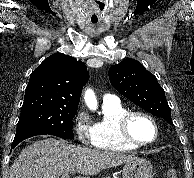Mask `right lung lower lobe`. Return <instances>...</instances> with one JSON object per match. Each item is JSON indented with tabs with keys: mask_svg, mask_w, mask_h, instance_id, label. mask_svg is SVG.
I'll use <instances>...</instances> for the list:
<instances>
[{
	"mask_svg": "<svg viewBox=\"0 0 194 178\" xmlns=\"http://www.w3.org/2000/svg\"><path fill=\"white\" fill-rule=\"evenodd\" d=\"M36 135H47V134L40 133V132H29V133H23V134L16 135L13 140L11 148H15L21 141L29 137L36 136Z\"/></svg>",
	"mask_w": 194,
	"mask_h": 178,
	"instance_id": "98d812e1",
	"label": "right lung lower lobe"
}]
</instances>
